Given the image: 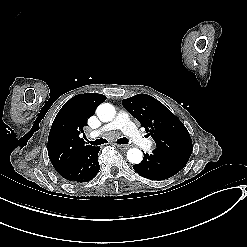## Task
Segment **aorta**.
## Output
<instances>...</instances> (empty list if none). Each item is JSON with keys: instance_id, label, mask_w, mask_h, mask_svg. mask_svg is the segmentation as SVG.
<instances>
[{"instance_id": "1", "label": "aorta", "mask_w": 247, "mask_h": 247, "mask_svg": "<svg viewBox=\"0 0 247 247\" xmlns=\"http://www.w3.org/2000/svg\"><path fill=\"white\" fill-rule=\"evenodd\" d=\"M98 118L103 122L111 121L115 116V108L109 103H102L96 110ZM143 159V153L137 148L127 151V160L132 164H139Z\"/></svg>"}]
</instances>
